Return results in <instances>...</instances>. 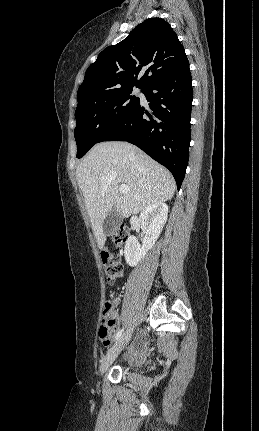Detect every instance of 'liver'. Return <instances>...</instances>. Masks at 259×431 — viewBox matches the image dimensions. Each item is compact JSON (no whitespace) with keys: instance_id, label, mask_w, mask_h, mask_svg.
<instances>
[{"instance_id":"obj_1","label":"liver","mask_w":259,"mask_h":431,"mask_svg":"<svg viewBox=\"0 0 259 431\" xmlns=\"http://www.w3.org/2000/svg\"><path fill=\"white\" fill-rule=\"evenodd\" d=\"M76 177L100 249L106 242L102 224L113 208L128 218L151 204L170 200L176 189L165 167L138 147L121 141L95 145L78 165ZM119 184L130 189L121 193Z\"/></svg>"}]
</instances>
